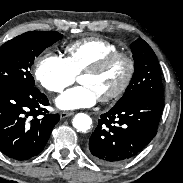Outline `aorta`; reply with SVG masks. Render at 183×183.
Returning a JSON list of instances; mask_svg holds the SVG:
<instances>
[{"label": "aorta", "instance_id": "aorta-1", "mask_svg": "<svg viewBox=\"0 0 183 183\" xmlns=\"http://www.w3.org/2000/svg\"><path fill=\"white\" fill-rule=\"evenodd\" d=\"M72 124L79 132H85L91 128L92 119L85 113H78L73 117Z\"/></svg>", "mask_w": 183, "mask_h": 183}]
</instances>
